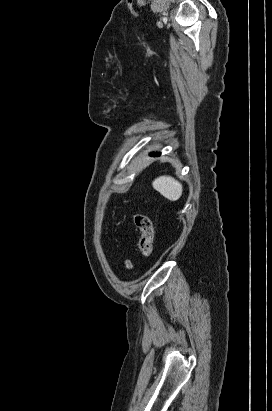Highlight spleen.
<instances>
[{
	"label": "spleen",
	"mask_w": 272,
	"mask_h": 411,
	"mask_svg": "<svg viewBox=\"0 0 272 411\" xmlns=\"http://www.w3.org/2000/svg\"><path fill=\"white\" fill-rule=\"evenodd\" d=\"M152 186L170 201L178 200L183 192L182 184L171 176H160L156 178Z\"/></svg>",
	"instance_id": "3e777b00"
}]
</instances>
